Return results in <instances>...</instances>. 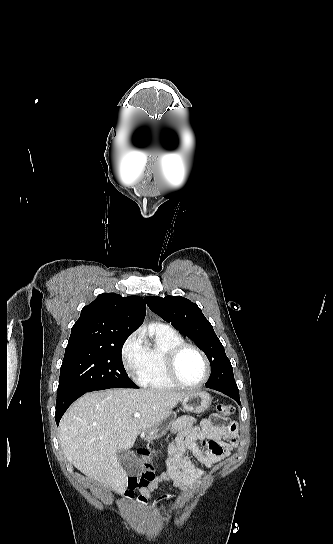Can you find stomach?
Returning a JSON list of instances; mask_svg holds the SVG:
<instances>
[{"mask_svg": "<svg viewBox=\"0 0 333 544\" xmlns=\"http://www.w3.org/2000/svg\"><path fill=\"white\" fill-rule=\"evenodd\" d=\"M211 396L203 391H194L188 393L182 400L183 411L200 413L207 410L211 404ZM176 420V414L172 413L157 425L142 433V437L148 441L159 438L171 428Z\"/></svg>", "mask_w": 333, "mask_h": 544, "instance_id": "stomach-1", "label": "stomach"}]
</instances>
